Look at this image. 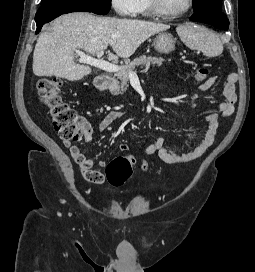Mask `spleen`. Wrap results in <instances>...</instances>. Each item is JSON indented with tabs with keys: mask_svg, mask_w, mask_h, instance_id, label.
I'll return each mask as SVG.
<instances>
[{
	"mask_svg": "<svg viewBox=\"0 0 255 272\" xmlns=\"http://www.w3.org/2000/svg\"><path fill=\"white\" fill-rule=\"evenodd\" d=\"M181 41L190 49L201 50L208 57H215L223 52V45L213 31L193 23L178 26L176 29Z\"/></svg>",
	"mask_w": 255,
	"mask_h": 272,
	"instance_id": "3e777b00",
	"label": "spleen"
}]
</instances>
